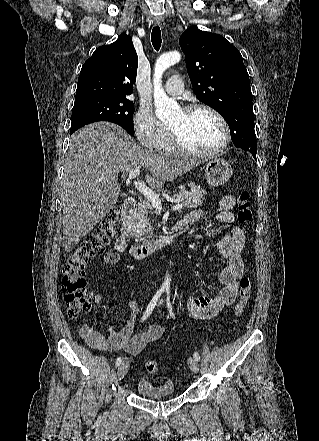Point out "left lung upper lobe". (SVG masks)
<instances>
[{
	"mask_svg": "<svg viewBox=\"0 0 319 441\" xmlns=\"http://www.w3.org/2000/svg\"><path fill=\"white\" fill-rule=\"evenodd\" d=\"M179 44L196 97L222 115L236 147L256 153L249 75L238 49L195 26L181 35Z\"/></svg>",
	"mask_w": 319,
	"mask_h": 441,
	"instance_id": "5c2ea615",
	"label": "left lung upper lobe"
}]
</instances>
